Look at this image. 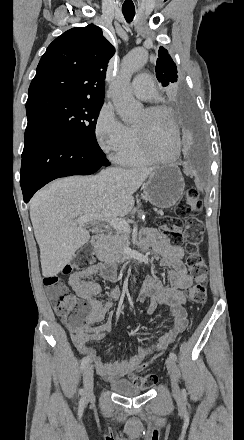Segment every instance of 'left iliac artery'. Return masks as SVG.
<instances>
[{
    "mask_svg": "<svg viewBox=\"0 0 244 440\" xmlns=\"http://www.w3.org/2000/svg\"><path fill=\"white\" fill-rule=\"evenodd\" d=\"M169 357L173 360H177V355L174 352H170Z\"/></svg>",
    "mask_w": 244,
    "mask_h": 440,
    "instance_id": "44dca946",
    "label": "left iliac artery"
}]
</instances>
